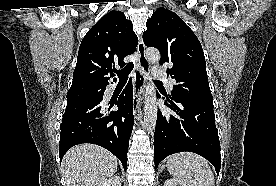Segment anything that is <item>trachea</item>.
<instances>
[{
  "instance_id": "1",
  "label": "trachea",
  "mask_w": 276,
  "mask_h": 186,
  "mask_svg": "<svg viewBox=\"0 0 276 186\" xmlns=\"http://www.w3.org/2000/svg\"><path fill=\"white\" fill-rule=\"evenodd\" d=\"M133 66H134L133 62H130V63L127 64V66L125 68H123L122 70H119L117 72V75L119 77V81H127L128 76H129L130 72L133 69ZM154 82L161 83L160 81H157V80H154Z\"/></svg>"
}]
</instances>
